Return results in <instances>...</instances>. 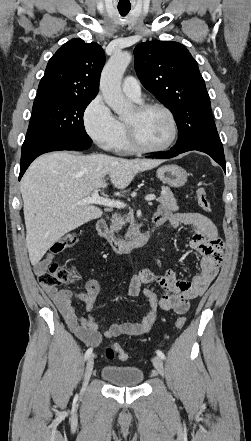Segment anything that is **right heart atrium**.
<instances>
[{"mask_svg": "<svg viewBox=\"0 0 251 441\" xmlns=\"http://www.w3.org/2000/svg\"><path fill=\"white\" fill-rule=\"evenodd\" d=\"M83 124L88 136L105 149H112L121 133L120 121L101 95H96L86 106Z\"/></svg>", "mask_w": 251, "mask_h": 441, "instance_id": "d8ad5b80", "label": "right heart atrium"}]
</instances>
